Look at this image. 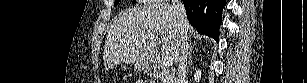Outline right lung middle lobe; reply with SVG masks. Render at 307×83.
Here are the masks:
<instances>
[{
    "instance_id": "right-lung-middle-lobe-1",
    "label": "right lung middle lobe",
    "mask_w": 307,
    "mask_h": 83,
    "mask_svg": "<svg viewBox=\"0 0 307 83\" xmlns=\"http://www.w3.org/2000/svg\"><path fill=\"white\" fill-rule=\"evenodd\" d=\"M119 3V0H116L114 3V6H116Z\"/></svg>"
}]
</instances>
